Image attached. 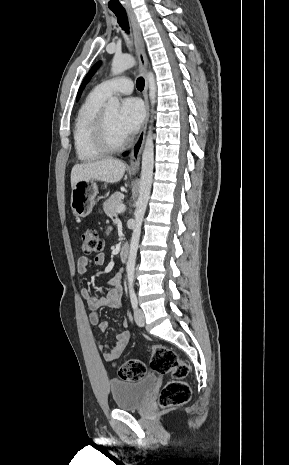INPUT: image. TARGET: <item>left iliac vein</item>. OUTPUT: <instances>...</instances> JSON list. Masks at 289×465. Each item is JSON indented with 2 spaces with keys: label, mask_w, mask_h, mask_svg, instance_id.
Segmentation results:
<instances>
[{
  "label": "left iliac vein",
  "mask_w": 289,
  "mask_h": 465,
  "mask_svg": "<svg viewBox=\"0 0 289 465\" xmlns=\"http://www.w3.org/2000/svg\"><path fill=\"white\" fill-rule=\"evenodd\" d=\"M135 322L139 327H143L145 325V315L142 309L138 308L135 310L134 313Z\"/></svg>",
  "instance_id": "1"
}]
</instances>
